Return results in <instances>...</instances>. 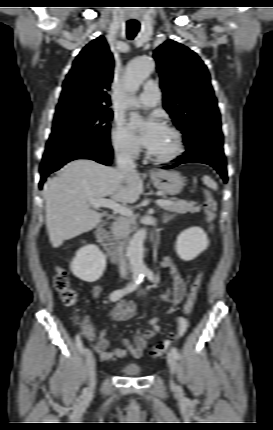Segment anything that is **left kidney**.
Instances as JSON below:
<instances>
[{"label":"left kidney","mask_w":273,"mask_h":430,"mask_svg":"<svg viewBox=\"0 0 273 430\" xmlns=\"http://www.w3.org/2000/svg\"><path fill=\"white\" fill-rule=\"evenodd\" d=\"M208 246L209 240L205 231L200 227H191L178 235L175 249L181 259L190 261L206 250Z\"/></svg>","instance_id":"5707ae66"}]
</instances>
